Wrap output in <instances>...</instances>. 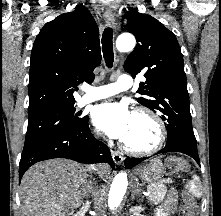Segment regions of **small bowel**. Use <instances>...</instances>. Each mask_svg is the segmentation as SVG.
<instances>
[{"label": "small bowel", "instance_id": "small-bowel-1", "mask_svg": "<svg viewBox=\"0 0 221 216\" xmlns=\"http://www.w3.org/2000/svg\"><path fill=\"white\" fill-rule=\"evenodd\" d=\"M167 204L170 207H175L176 205V193L172 190L167 198Z\"/></svg>", "mask_w": 221, "mask_h": 216}]
</instances>
